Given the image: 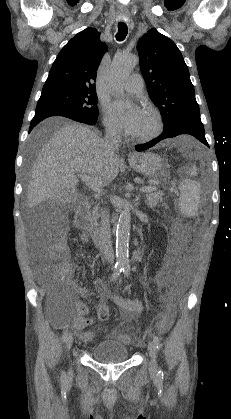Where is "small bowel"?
<instances>
[{
  "label": "small bowel",
  "mask_w": 231,
  "mask_h": 419,
  "mask_svg": "<svg viewBox=\"0 0 231 419\" xmlns=\"http://www.w3.org/2000/svg\"><path fill=\"white\" fill-rule=\"evenodd\" d=\"M84 240H87L84 238ZM179 256V250H173L169 252L165 256L164 265L162 267V271L159 274L158 277V284L160 287L164 286L168 280V272L169 268L173 264V262L178 258ZM170 294L173 295V297L176 295L175 289L173 287L169 288ZM81 295H86V291H80ZM98 296L101 300V303L98 306V309L102 306H106L104 301L106 299L112 300L120 309L121 316L125 320H129L137 316L145 307V303L143 301L139 300H132L129 298H126L124 296H121L119 294L113 293L110 289L100 285ZM75 311L78 314V316L74 319L73 327L75 331L85 340L90 341L92 339V332L86 331L85 329L92 324V319L87 317L88 314V307L87 305L82 301H76L75 302ZM117 336H121L118 333H115Z\"/></svg>",
  "instance_id": "1"
}]
</instances>
